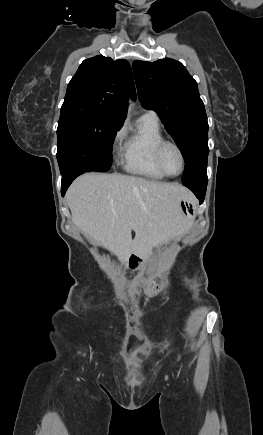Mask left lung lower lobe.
<instances>
[{"instance_id": "obj_1", "label": "left lung lower lobe", "mask_w": 263, "mask_h": 435, "mask_svg": "<svg viewBox=\"0 0 263 435\" xmlns=\"http://www.w3.org/2000/svg\"><path fill=\"white\" fill-rule=\"evenodd\" d=\"M183 185L188 187L196 195V197L199 199V203L201 204L206 193L207 173L183 181Z\"/></svg>"}]
</instances>
